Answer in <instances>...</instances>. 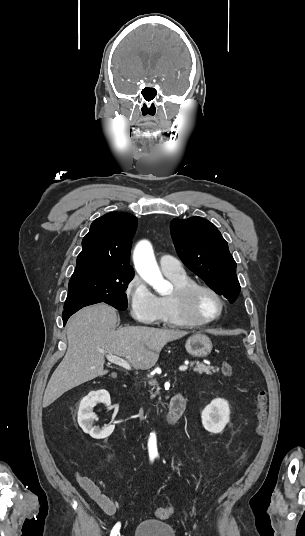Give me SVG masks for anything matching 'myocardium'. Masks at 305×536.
Wrapping results in <instances>:
<instances>
[{
  "mask_svg": "<svg viewBox=\"0 0 305 536\" xmlns=\"http://www.w3.org/2000/svg\"><path fill=\"white\" fill-rule=\"evenodd\" d=\"M200 291L210 292L221 301V310L217 316L207 320H197L194 318L191 311V303ZM170 300L180 318L189 327H207L213 325L224 316L227 310V299L225 296L214 287L199 282L175 287L170 294Z\"/></svg>",
  "mask_w": 305,
  "mask_h": 536,
  "instance_id": "1",
  "label": "myocardium"
}]
</instances>
